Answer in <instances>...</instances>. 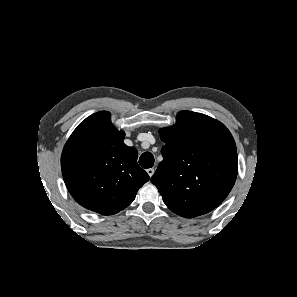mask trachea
<instances>
[{"label": "trachea", "instance_id": "obj_1", "mask_svg": "<svg viewBox=\"0 0 297 297\" xmlns=\"http://www.w3.org/2000/svg\"><path fill=\"white\" fill-rule=\"evenodd\" d=\"M139 164L147 169L154 165V156L150 152L143 153L139 158Z\"/></svg>", "mask_w": 297, "mask_h": 297}]
</instances>
